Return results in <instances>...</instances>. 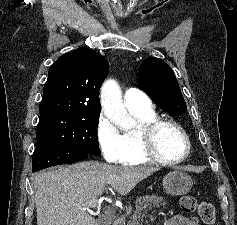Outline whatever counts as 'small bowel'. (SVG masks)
Wrapping results in <instances>:
<instances>
[{
    "label": "small bowel",
    "instance_id": "small-bowel-1",
    "mask_svg": "<svg viewBox=\"0 0 237 225\" xmlns=\"http://www.w3.org/2000/svg\"><path fill=\"white\" fill-rule=\"evenodd\" d=\"M165 225H200L196 219L189 218L183 215H175L169 218Z\"/></svg>",
    "mask_w": 237,
    "mask_h": 225
}]
</instances>
